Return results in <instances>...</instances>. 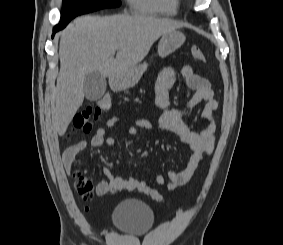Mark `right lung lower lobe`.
Returning <instances> with one entry per match:
<instances>
[{"label":"right lung lower lobe","instance_id":"98d812e1","mask_svg":"<svg viewBox=\"0 0 283 245\" xmlns=\"http://www.w3.org/2000/svg\"><path fill=\"white\" fill-rule=\"evenodd\" d=\"M63 26H61V25H58V26H56L55 28H54V30H53V32L55 33V32H57L60 28H62Z\"/></svg>","mask_w":283,"mask_h":245}]
</instances>
